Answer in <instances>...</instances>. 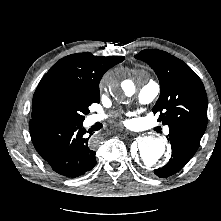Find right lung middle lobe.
<instances>
[{"label": "right lung middle lobe", "instance_id": "1", "mask_svg": "<svg viewBox=\"0 0 221 221\" xmlns=\"http://www.w3.org/2000/svg\"><path fill=\"white\" fill-rule=\"evenodd\" d=\"M100 102L99 90H88L61 80H51L34 93L32 118L82 122L92 103Z\"/></svg>", "mask_w": 221, "mask_h": 221}]
</instances>
